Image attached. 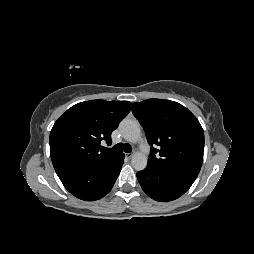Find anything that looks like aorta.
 <instances>
[{"label": "aorta", "instance_id": "1", "mask_svg": "<svg viewBox=\"0 0 254 254\" xmlns=\"http://www.w3.org/2000/svg\"><path fill=\"white\" fill-rule=\"evenodd\" d=\"M119 129L123 138L130 143H137L141 138V129L139 123L135 120L124 119ZM148 158L142 152H135L131 159L133 168L137 171L144 170L147 166Z\"/></svg>", "mask_w": 254, "mask_h": 254}]
</instances>
